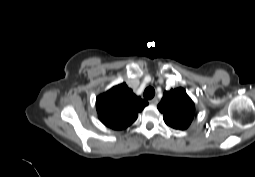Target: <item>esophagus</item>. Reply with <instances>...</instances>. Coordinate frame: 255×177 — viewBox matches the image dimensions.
Masks as SVG:
<instances>
[{"label": "esophagus", "mask_w": 255, "mask_h": 177, "mask_svg": "<svg viewBox=\"0 0 255 177\" xmlns=\"http://www.w3.org/2000/svg\"><path fill=\"white\" fill-rule=\"evenodd\" d=\"M150 104L156 105L158 103V99L155 97L149 101Z\"/></svg>", "instance_id": "esophagus-1"}]
</instances>
